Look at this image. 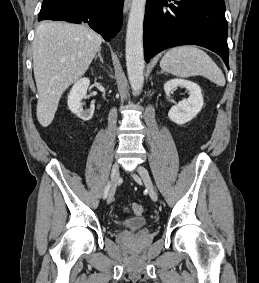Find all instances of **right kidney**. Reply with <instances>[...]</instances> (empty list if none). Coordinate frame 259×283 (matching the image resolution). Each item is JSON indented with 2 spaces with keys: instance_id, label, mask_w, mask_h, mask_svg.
Returning a JSON list of instances; mask_svg holds the SVG:
<instances>
[{
  "instance_id": "obj_1",
  "label": "right kidney",
  "mask_w": 259,
  "mask_h": 283,
  "mask_svg": "<svg viewBox=\"0 0 259 283\" xmlns=\"http://www.w3.org/2000/svg\"><path fill=\"white\" fill-rule=\"evenodd\" d=\"M90 85L88 78L79 79L72 87L68 95V108L83 121H88L94 114L95 105L92 103L90 108L83 109L82 100L87 98V89Z\"/></svg>"
}]
</instances>
